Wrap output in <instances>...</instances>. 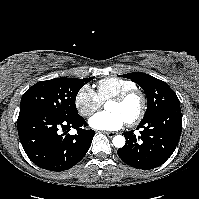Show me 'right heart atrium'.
<instances>
[{"label":"right heart atrium","mask_w":199,"mask_h":199,"mask_svg":"<svg viewBox=\"0 0 199 199\" xmlns=\"http://www.w3.org/2000/svg\"><path fill=\"white\" fill-rule=\"evenodd\" d=\"M102 102L97 96V93L89 86H82L75 96V106L79 113L85 117H91L100 108Z\"/></svg>","instance_id":"1"}]
</instances>
